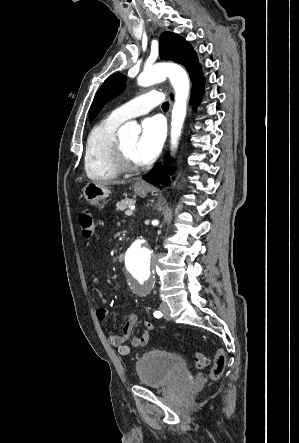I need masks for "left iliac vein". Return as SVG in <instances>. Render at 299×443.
<instances>
[{"label": "left iliac vein", "instance_id": "1", "mask_svg": "<svg viewBox=\"0 0 299 443\" xmlns=\"http://www.w3.org/2000/svg\"><path fill=\"white\" fill-rule=\"evenodd\" d=\"M160 309H161V311L163 312V316H164V318H165L166 320H170L171 317H170V309H169V306H168L166 303H162V304L160 305Z\"/></svg>", "mask_w": 299, "mask_h": 443}]
</instances>
